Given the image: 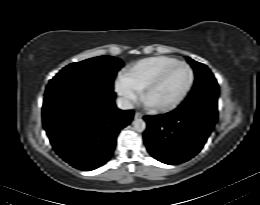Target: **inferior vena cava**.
I'll use <instances>...</instances> for the list:
<instances>
[{
    "label": "inferior vena cava",
    "instance_id": "602c4592",
    "mask_svg": "<svg viewBox=\"0 0 260 205\" xmlns=\"http://www.w3.org/2000/svg\"><path fill=\"white\" fill-rule=\"evenodd\" d=\"M116 105L119 109H122V110L133 109V103L129 99L124 98V97H119L116 100Z\"/></svg>",
    "mask_w": 260,
    "mask_h": 205
}]
</instances>
